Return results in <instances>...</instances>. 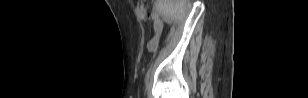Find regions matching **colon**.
<instances>
[{"label":"colon","instance_id":"obj_1","mask_svg":"<svg viewBox=\"0 0 308 98\" xmlns=\"http://www.w3.org/2000/svg\"><path fill=\"white\" fill-rule=\"evenodd\" d=\"M136 10L141 20L146 21L148 19V14L142 2L137 3Z\"/></svg>","mask_w":308,"mask_h":98}]
</instances>
